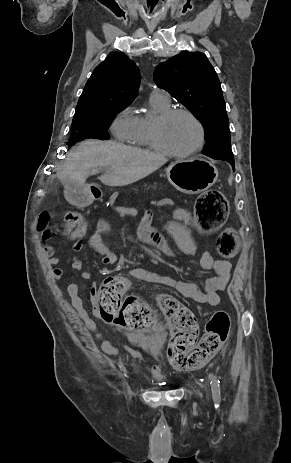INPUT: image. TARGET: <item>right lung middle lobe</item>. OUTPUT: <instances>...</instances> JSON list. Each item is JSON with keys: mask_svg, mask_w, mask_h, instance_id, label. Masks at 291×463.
I'll return each mask as SVG.
<instances>
[{"mask_svg": "<svg viewBox=\"0 0 291 463\" xmlns=\"http://www.w3.org/2000/svg\"><path fill=\"white\" fill-rule=\"evenodd\" d=\"M128 105L130 103L106 102L94 111L74 115L68 141L69 148L76 142L85 139L105 140L110 138L107 130L113 118Z\"/></svg>", "mask_w": 291, "mask_h": 463, "instance_id": "right-lung-middle-lobe-1", "label": "right lung middle lobe"}]
</instances>
